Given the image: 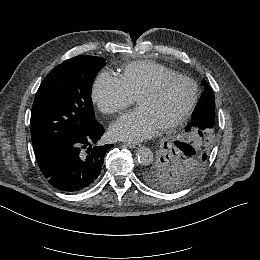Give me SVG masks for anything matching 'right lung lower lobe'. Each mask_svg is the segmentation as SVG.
Masks as SVG:
<instances>
[{"mask_svg": "<svg viewBox=\"0 0 260 260\" xmlns=\"http://www.w3.org/2000/svg\"><path fill=\"white\" fill-rule=\"evenodd\" d=\"M104 128L96 122L83 138L37 156L48 182L63 192H79L92 185L101 173L104 156L113 145L96 144Z\"/></svg>", "mask_w": 260, "mask_h": 260, "instance_id": "98d812e1", "label": "right lung lower lobe"}]
</instances>
